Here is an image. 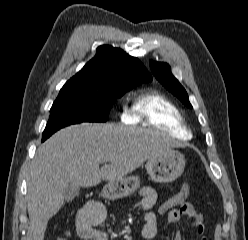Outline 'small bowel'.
Segmentation results:
<instances>
[{
	"mask_svg": "<svg viewBox=\"0 0 248 240\" xmlns=\"http://www.w3.org/2000/svg\"><path fill=\"white\" fill-rule=\"evenodd\" d=\"M141 207L143 210L144 225L141 228L140 234L144 240H153L158 233V223L156 214L152 211L157 200L155 190L149 186H145L140 190ZM106 208L98 201H90L83 206L75 221V232L81 240H109V235L98 229L97 227L106 218ZM184 217L193 219L194 226L201 240H212L206 234V227L203 215L191 203H184L180 207L166 213L167 223H178ZM173 240H183L182 234L177 231Z\"/></svg>",
	"mask_w": 248,
	"mask_h": 240,
	"instance_id": "small-bowel-1",
	"label": "small bowel"
}]
</instances>
